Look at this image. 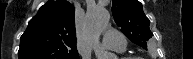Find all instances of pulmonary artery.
Wrapping results in <instances>:
<instances>
[{"mask_svg":"<svg viewBox=\"0 0 193 59\" xmlns=\"http://www.w3.org/2000/svg\"><path fill=\"white\" fill-rule=\"evenodd\" d=\"M103 45L118 52H123L126 49V44L123 42L122 34L112 30L111 28L105 30Z\"/></svg>","mask_w":193,"mask_h":59,"instance_id":"1","label":"pulmonary artery"}]
</instances>
